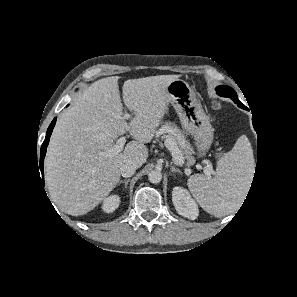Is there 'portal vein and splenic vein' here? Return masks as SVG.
<instances>
[{
	"label": "portal vein and splenic vein",
	"instance_id": "portal-vein-and-splenic-vein-1",
	"mask_svg": "<svg viewBox=\"0 0 297 297\" xmlns=\"http://www.w3.org/2000/svg\"><path fill=\"white\" fill-rule=\"evenodd\" d=\"M130 116L131 115L127 114V115H125V118L128 119V118H130ZM166 132H168V131L165 130V129L161 130V133H166ZM125 142H126V136H123V137L119 138L117 140L116 144L114 145V147L111 148L110 150H108L107 152H105V155L106 156H111V155H115V154L120 153L122 151L124 145H125ZM164 144H165L166 148L171 152L173 158L175 159V162L177 164H183L184 163V157L178 155L175 152L176 147L174 146V143L171 140L166 139ZM203 170H204V173L209 176L210 173H211V170H212L211 164H208ZM185 173L187 175H189L191 173L190 169L187 168L185 170Z\"/></svg>",
	"mask_w": 297,
	"mask_h": 297
}]
</instances>
